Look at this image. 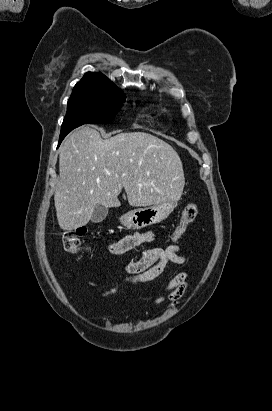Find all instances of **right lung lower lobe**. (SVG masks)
Here are the masks:
<instances>
[{"mask_svg":"<svg viewBox=\"0 0 272 411\" xmlns=\"http://www.w3.org/2000/svg\"><path fill=\"white\" fill-rule=\"evenodd\" d=\"M64 139V137H60L59 138V144L61 143V141Z\"/></svg>","mask_w":272,"mask_h":411,"instance_id":"98d812e1","label":"right lung lower lobe"}]
</instances>
